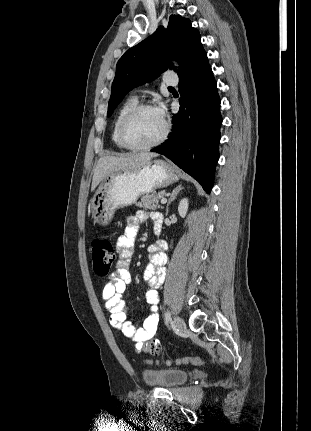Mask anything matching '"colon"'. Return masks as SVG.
<instances>
[{
  "mask_svg": "<svg viewBox=\"0 0 311 431\" xmlns=\"http://www.w3.org/2000/svg\"><path fill=\"white\" fill-rule=\"evenodd\" d=\"M91 259L93 263V269L95 273L99 276H105L109 273L114 259L115 253L111 242L105 238H97L92 241L91 244ZM144 349L151 353H158L160 350V345L157 342H151L144 346ZM148 363H160L159 361L148 360ZM166 365L176 364V365H195L200 366L204 364V360L201 357H185L175 360L162 361Z\"/></svg>",
  "mask_w": 311,
  "mask_h": 431,
  "instance_id": "colon-1",
  "label": "colon"
}]
</instances>
